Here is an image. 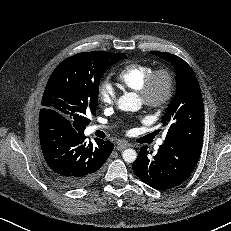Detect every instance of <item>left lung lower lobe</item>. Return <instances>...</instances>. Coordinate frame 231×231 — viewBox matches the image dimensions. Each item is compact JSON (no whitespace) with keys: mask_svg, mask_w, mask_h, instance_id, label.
Segmentation results:
<instances>
[{"mask_svg":"<svg viewBox=\"0 0 231 231\" xmlns=\"http://www.w3.org/2000/svg\"><path fill=\"white\" fill-rule=\"evenodd\" d=\"M147 148L141 147L132 169L144 183L157 190L182 184L195 169L201 153L162 144L157 154L150 158Z\"/></svg>","mask_w":231,"mask_h":231,"instance_id":"1","label":"left lung lower lobe"}]
</instances>
